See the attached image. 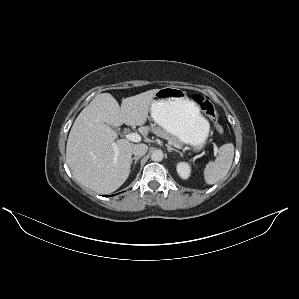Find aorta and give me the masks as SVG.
Listing matches in <instances>:
<instances>
[{"label":"aorta","instance_id":"1","mask_svg":"<svg viewBox=\"0 0 299 299\" xmlns=\"http://www.w3.org/2000/svg\"><path fill=\"white\" fill-rule=\"evenodd\" d=\"M164 154L161 150H155L152 154H151V159L153 161L159 162L163 159Z\"/></svg>","mask_w":299,"mask_h":299}]
</instances>
